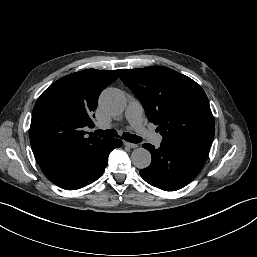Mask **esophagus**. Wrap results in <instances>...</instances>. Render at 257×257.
I'll list each match as a JSON object with an SVG mask.
<instances>
[{
  "label": "esophagus",
  "instance_id": "34e87169",
  "mask_svg": "<svg viewBox=\"0 0 257 257\" xmlns=\"http://www.w3.org/2000/svg\"><path fill=\"white\" fill-rule=\"evenodd\" d=\"M124 145L129 147V148H137L138 147V144L130 143V142H127V141H124Z\"/></svg>",
  "mask_w": 257,
  "mask_h": 257
}]
</instances>
